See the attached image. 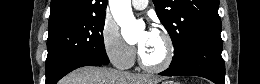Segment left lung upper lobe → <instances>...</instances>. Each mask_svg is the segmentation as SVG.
Segmentation results:
<instances>
[{"label": "left lung upper lobe", "instance_id": "left-lung-upper-lobe-1", "mask_svg": "<svg viewBox=\"0 0 260 84\" xmlns=\"http://www.w3.org/2000/svg\"><path fill=\"white\" fill-rule=\"evenodd\" d=\"M156 13L174 46L171 64L198 40L220 37L219 0H153Z\"/></svg>", "mask_w": 260, "mask_h": 84}]
</instances>
